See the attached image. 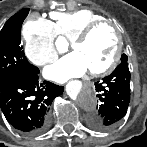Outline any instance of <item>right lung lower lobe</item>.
Returning <instances> with one entry per match:
<instances>
[{
  "mask_svg": "<svg viewBox=\"0 0 147 147\" xmlns=\"http://www.w3.org/2000/svg\"><path fill=\"white\" fill-rule=\"evenodd\" d=\"M39 69L22 73L0 83V108L7 121L29 135L40 134L49 126L48 106L63 93V86L39 84Z\"/></svg>",
  "mask_w": 147,
  "mask_h": 147,
  "instance_id": "98d812e1",
  "label": "right lung lower lobe"
}]
</instances>
